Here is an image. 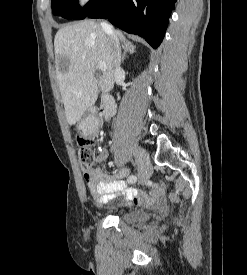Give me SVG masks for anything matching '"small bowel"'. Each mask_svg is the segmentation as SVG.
<instances>
[{
  "label": "small bowel",
  "mask_w": 247,
  "mask_h": 275,
  "mask_svg": "<svg viewBox=\"0 0 247 275\" xmlns=\"http://www.w3.org/2000/svg\"><path fill=\"white\" fill-rule=\"evenodd\" d=\"M92 128L97 127L95 120L90 121ZM108 157L106 149L98 151L96 163H101ZM129 174L128 168H123L115 174H107L100 169H91L84 173L85 185L97 205H103L112 201L116 196L123 192L128 199L135 205H147L159 202L163 199L165 188L162 184L149 181L148 191L126 189V183L123 180Z\"/></svg>",
  "instance_id": "1"
}]
</instances>
